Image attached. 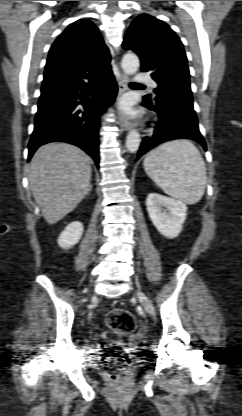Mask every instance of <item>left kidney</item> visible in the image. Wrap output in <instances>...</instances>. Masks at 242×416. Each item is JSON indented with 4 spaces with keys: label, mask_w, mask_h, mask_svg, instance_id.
<instances>
[{
    "label": "left kidney",
    "mask_w": 242,
    "mask_h": 416,
    "mask_svg": "<svg viewBox=\"0 0 242 416\" xmlns=\"http://www.w3.org/2000/svg\"><path fill=\"white\" fill-rule=\"evenodd\" d=\"M146 206L152 223L163 236L175 238L179 235L187 216V207L183 202L151 193L146 199Z\"/></svg>",
    "instance_id": "obj_1"
}]
</instances>
